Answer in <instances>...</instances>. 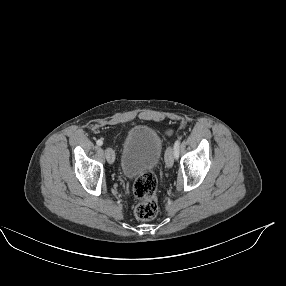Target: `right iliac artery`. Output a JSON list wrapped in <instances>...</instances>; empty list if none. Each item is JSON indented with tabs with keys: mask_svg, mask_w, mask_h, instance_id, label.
<instances>
[{
	"mask_svg": "<svg viewBox=\"0 0 286 286\" xmlns=\"http://www.w3.org/2000/svg\"><path fill=\"white\" fill-rule=\"evenodd\" d=\"M96 144H97L98 146H101V145L103 144V141H102L101 139H99V140H97Z\"/></svg>",
	"mask_w": 286,
	"mask_h": 286,
	"instance_id": "right-iliac-artery-1",
	"label": "right iliac artery"
}]
</instances>
